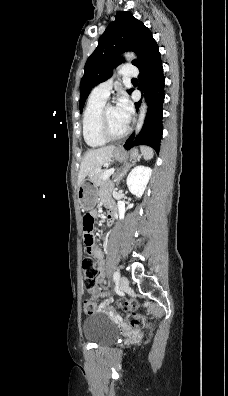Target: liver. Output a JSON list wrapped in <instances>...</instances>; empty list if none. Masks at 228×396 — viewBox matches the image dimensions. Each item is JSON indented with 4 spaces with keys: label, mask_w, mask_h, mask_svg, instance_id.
Here are the masks:
<instances>
[{
    "label": "liver",
    "mask_w": 228,
    "mask_h": 396,
    "mask_svg": "<svg viewBox=\"0 0 228 396\" xmlns=\"http://www.w3.org/2000/svg\"><path fill=\"white\" fill-rule=\"evenodd\" d=\"M115 146H105L97 149L88 150L81 162L80 171L78 174V186L82 183L85 177L99 169L102 165L110 162Z\"/></svg>",
    "instance_id": "6515ba94"
}]
</instances>
